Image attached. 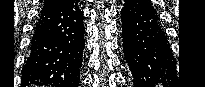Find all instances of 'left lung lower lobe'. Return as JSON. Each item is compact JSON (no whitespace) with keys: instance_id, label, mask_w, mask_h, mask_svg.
I'll return each mask as SVG.
<instances>
[{"instance_id":"0a47b994","label":"left lung lower lobe","mask_w":205,"mask_h":87,"mask_svg":"<svg viewBox=\"0 0 205 87\" xmlns=\"http://www.w3.org/2000/svg\"><path fill=\"white\" fill-rule=\"evenodd\" d=\"M121 20L123 51L134 87H153L174 81L176 62L151 2L125 0Z\"/></svg>"}]
</instances>
